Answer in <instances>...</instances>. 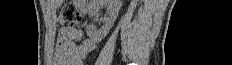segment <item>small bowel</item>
<instances>
[{
  "mask_svg": "<svg viewBox=\"0 0 232 65\" xmlns=\"http://www.w3.org/2000/svg\"><path fill=\"white\" fill-rule=\"evenodd\" d=\"M77 37H79V33L73 28L59 31L58 61L67 65H82V60L95 49V43L91 39H84L80 45H76L74 39Z\"/></svg>",
  "mask_w": 232,
  "mask_h": 65,
  "instance_id": "1",
  "label": "small bowel"
}]
</instances>
